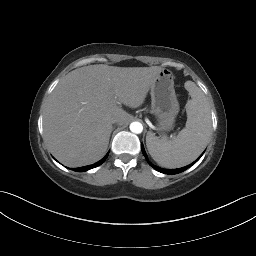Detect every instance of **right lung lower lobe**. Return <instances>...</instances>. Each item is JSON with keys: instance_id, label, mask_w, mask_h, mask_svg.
Listing matches in <instances>:
<instances>
[{"instance_id": "obj_1", "label": "right lung lower lobe", "mask_w": 256, "mask_h": 256, "mask_svg": "<svg viewBox=\"0 0 256 256\" xmlns=\"http://www.w3.org/2000/svg\"><path fill=\"white\" fill-rule=\"evenodd\" d=\"M108 154H109V153H107L106 156H105L103 159H101L100 161H98L97 163H95V164H93V165L84 166V167H80V168H74L73 170H74V171L83 172V171H87V170H90V169H92V168H95V167L101 165V164L106 160Z\"/></svg>"}]
</instances>
